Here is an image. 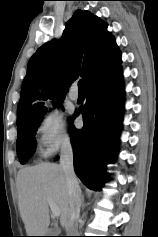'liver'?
Instances as JSON below:
<instances>
[{
	"instance_id": "obj_1",
	"label": "liver",
	"mask_w": 158,
	"mask_h": 237,
	"mask_svg": "<svg viewBox=\"0 0 158 237\" xmlns=\"http://www.w3.org/2000/svg\"><path fill=\"white\" fill-rule=\"evenodd\" d=\"M16 185L18 207L28 236L49 233L48 199L59 208L61 226L67 228L69 196L66 176L59 164L44 162L22 168Z\"/></svg>"
}]
</instances>
